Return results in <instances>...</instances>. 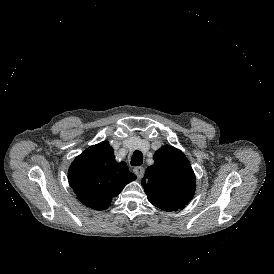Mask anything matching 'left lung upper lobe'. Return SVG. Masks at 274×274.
Returning <instances> with one entry per match:
<instances>
[{"label":"left lung upper lobe","mask_w":274,"mask_h":274,"mask_svg":"<svg viewBox=\"0 0 274 274\" xmlns=\"http://www.w3.org/2000/svg\"><path fill=\"white\" fill-rule=\"evenodd\" d=\"M142 185L149 201L165 211L183 209L195 192L190 162L178 149L165 145L154 154Z\"/></svg>","instance_id":"5c2ea615"}]
</instances>
